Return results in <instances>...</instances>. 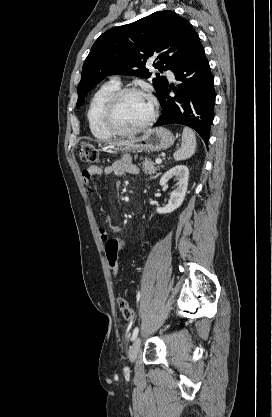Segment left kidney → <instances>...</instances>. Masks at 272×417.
I'll return each mask as SVG.
<instances>
[{
	"instance_id": "left-kidney-1",
	"label": "left kidney",
	"mask_w": 272,
	"mask_h": 417,
	"mask_svg": "<svg viewBox=\"0 0 272 417\" xmlns=\"http://www.w3.org/2000/svg\"><path fill=\"white\" fill-rule=\"evenodd\" d=\"M172 178L178 180V183L176 184V189L171 193L169 202L165 207L156 208V211L159 214L171 213L182 205L186 192H187V186H188V178H189L188 167L185 165H177L171 168L161 177L160 185L162 187H167L168 181Z\"/></svg>"
}]
</instances>
